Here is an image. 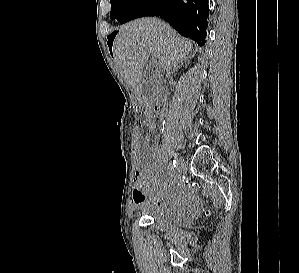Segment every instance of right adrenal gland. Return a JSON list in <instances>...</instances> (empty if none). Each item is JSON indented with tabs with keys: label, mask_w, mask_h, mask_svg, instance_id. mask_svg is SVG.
<instances>
[{
	"label": "right adrenal gland",
	"mask_w": 299,
	"mask_h": 273,
	"mask_svg": "<svg viewBox=\"0 0 299 273\" xmlns=\"http://www.w3.org/2000/svg\"><path fill=\"white\" fill-rule=\"evenodd\" d=\"M189 58H190V56H189V57H186V58L184 59V61L188 62V61H189ZM182 64H183V60H181V61L179 62V65H177V66H175V67L173 68V71L177 70L178 67H180Z\"/></svg>",
	"instance_id": "2a0ac1e0"
}]
</instances>
